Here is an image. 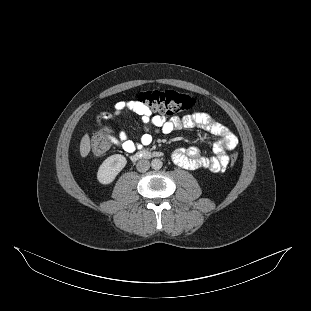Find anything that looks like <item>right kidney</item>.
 <instances>
[{
  "mask_svg": "<svg viewBox=\"0 0 311 311\" xmlns=\"http://www.w3.org/2000/svg\"><path fill=\"white\" fill-rule=\"evenodd\" d=\"M126 165V159L121 154H115L108 157L101 165L98 172V179L102 183L111 182L115 176Z\"/></svg>",
  "mask_w": 311,
  "mask_h": 311,
  "instance_id": "1",
  "label": "right kidney"
}]
</instances>
